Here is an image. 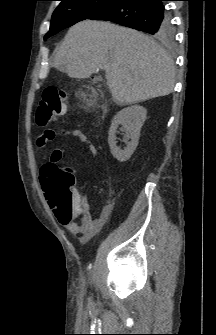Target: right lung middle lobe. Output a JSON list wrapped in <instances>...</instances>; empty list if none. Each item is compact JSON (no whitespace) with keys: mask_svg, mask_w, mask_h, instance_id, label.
Here are the masks:
<instances>
[{"mask_svg":"<svg viewBox=\"0 0 216 335\" xmlns=\"http://www.w3.org/2000/svg\"><path fill=\"white\" fill-rule=\"evenodd\" d=\"M60 5L52 15L51 25L44 40L75 23L91 19L116 0H60ZM173 36L171 24L162 33L155 36L160 40H170Z\"/></svg>","mask_w":216,"mask_h":335,"instance_id":"obj_1","label":"right lung middle lobe"}]
</instances>
